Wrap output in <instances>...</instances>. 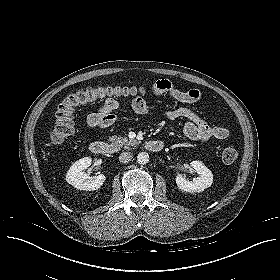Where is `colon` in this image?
<instances>
[{
    "mask_svg": "<svg viewBox=\"0 0 280 280\" xmlns=\"http://www.w3.org/2000/svg\"><path fill=\"white\" fill-rule=\"evenodd\" d=\"M146 94L144 87L103 85L81 88L67 94L57 105L55 122L50 134L53 145L63 143L73 133V111L77 106L88 104L97 99L112 97L136 98ZM238 152L233 146L223 148L221 158L225 163H232L237 159Z\"/></svg>",
    "mask_w": 280,
    "mask_h": 280,
    "instance_id": "obj_1",
    "label": "colon"
}]
</instances>
